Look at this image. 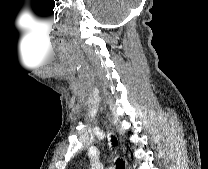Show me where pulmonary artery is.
<instances>
[{"instance_id":"e3ab8cb5","label":"pulmonary artery","mask_w":208,"mask_h":169,"mask_svg":"<svg viewBox=\"0 0 208 169\" xmlns=\"http://www.w3.org/2000/svg\"><path fill=\"white\" fill-rule=\"evenodd\" d=\"M107 169H113V167H108Z\"/></svg>"}]
</instances>
